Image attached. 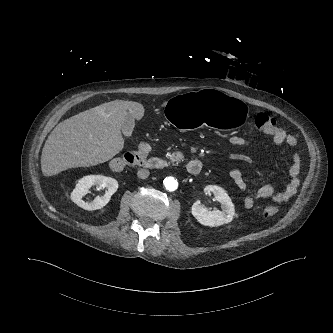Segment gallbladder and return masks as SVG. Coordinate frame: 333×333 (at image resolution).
<instances>
[{
	"label": "gallbladder",
	"mask_w": 333,
	"mask_h": 333,
	"mask_svg": "<svg viewBox=\"0 0 333 333\" xmlns=\"http://www.w3.org/2000/svg\"><path fill=\"white\" fill-rule=\"evenodd\" d=\"M134 126H135V119L130 113H128L125 117V120L123 121V123L121 125L122 133L126 137H131Z\"/></svg>",
	"instance_id": "bac80fb5"
}]
</instances>
